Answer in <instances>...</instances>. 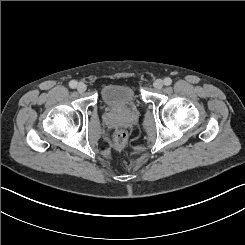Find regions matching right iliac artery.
<instances>
[{"label":"right iliac artery","mask_w":245,"mask_h":245,"mask_svg":"<svg viewBox=\"0 0 245 245\" xmlns=\"http://www.w3.org/2000/svg\"><path fill=\"white\" fill-rule=\"evenodd\" d=\"M70 88L74 89L77 86V82L75 80L70 81L69 83Z\"/></svg>","instance_id":"obj_1"}]
</instances>
